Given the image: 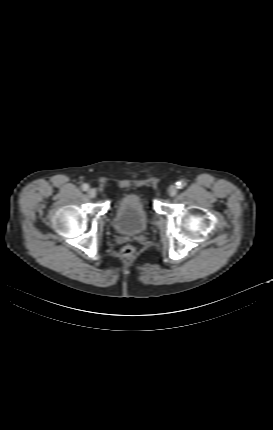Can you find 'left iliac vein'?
I'll use <instances>...</instances> for the list:
<instances>
[{
	"label": "left iliac vein",
	"mask_w": 273,
	"mask_h": 430,
	"mask_svg": "<svg viewBox=\"0 0 273 430\" xmlns=\"http://www.w3.org/2000/svg\"><path fill=\"white\" fill-rule=\"evenodd\" d=\"M168 193H169L170 196L174 197L177 194V187L174 186V185H171L168 188Z\"/></svg>",
	"instance_id": "left-iliac-vein-1"
}]
</instances>
